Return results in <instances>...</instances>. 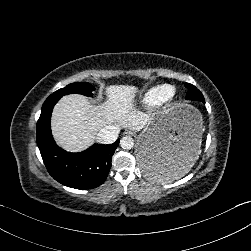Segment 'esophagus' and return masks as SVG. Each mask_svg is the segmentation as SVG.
Returning <instances> with one entry per match:
<instances>
[{"label":"esophagus","mask_w":251,"mask_h":251,"mask_svg":"<svg viewBox=\"0 0 251 251\" xmlns=\"http://www.w3.org/2000/svg\"><path fill=\"white\" fill-rule=\"evenodd\" d=\"M127 134L132 135L133 133L132 132H127Z\"/></svg>","instance_id":"34e87169"}]
</instances>
